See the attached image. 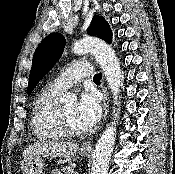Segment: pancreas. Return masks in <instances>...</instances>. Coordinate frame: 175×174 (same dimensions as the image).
Returning a JSON list of instances; mask_svg holds the SVG:
<instances>
[{"mask_svg": "<svg viewBox=\"0 0 175 174\" xmlns=\"http://www.w3.org/2000/svg\"><path fill=\"white\" fill-rule=\"evenodd\" d=\"M62 171L64 172V174H74V167L70 163L65 168H63Z\"/></svg>", "mask_w": 175, "mask_h": 174, "instance_id": "pancreas-1", "label": "pancreas"}]
</instances>
